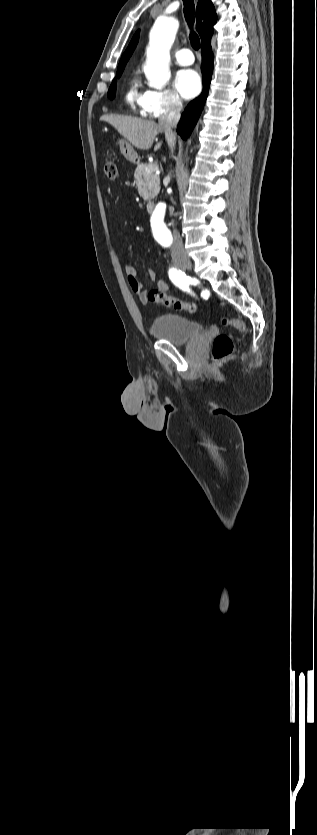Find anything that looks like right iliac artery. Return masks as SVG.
I'll return each instance as SVG.
<instances>
[{
    "label": "right iliac artery",
    "mask_w": 317,
    "mask_h": 835,
    "mask_svg": "<svg viewBox=\"0 0 317 835\" xmlns=\"http://www.w3.org/2000/svg\"><path fill=\"white\" fill-rule=\"evenodd\" d=\"M168 274H169V278H170V280H171V281H172V282H173V283H174L177 287H179V288H180V289H182L183 291H187V292H189V293H192V292H191V290H190V288H189V281H188V278H187V276L185 275V273H184V272H182L181 270H178V269H176V268H174V267H173V268H170V269H169Z\"/></svg>",
    "instance_id": "82829eb1"
}]
</instances>
